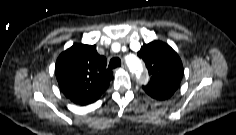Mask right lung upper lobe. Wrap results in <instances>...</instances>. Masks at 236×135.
Masks as SVG:
<instances>
[{
	"instance_id": "cb5924a9",
	"label": "right lung upper lobe",
	"mask_w": 236,
	"mask_h": 135,
	"mask_svg": "<svg viewBox=\"0 0 236 135\" xmlns=\"http://www.w3.org/2000/svg\"><path fill=\"white\" fill-rule=\"evenodd\" d=\"M62 93L77 105H88L107 89L113 73L95 45L75 44L62 52L55 65Z\"/></svg>"
}]
</instances>
